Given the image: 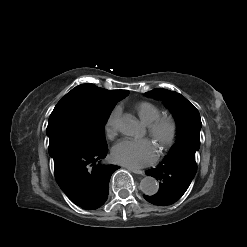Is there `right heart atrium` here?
Listing matches in <instances>:
<instances>
[{
  "mask_svg": "<svg viewBox=\"0 0 247 247\" xmlns=\"http://www.w3.org/2000/svg\"><path fill=\"white\" fill-rule=\"evenodd\" d=\"M120 111V107H115L106 119L104 131L108 139H113L117 134Z\"/></svg>",
  "mask_w": 247,
  "mask_h": 247,
  "instance_id": "1",
  "label": "right heart atrium"
}]
</instances>
